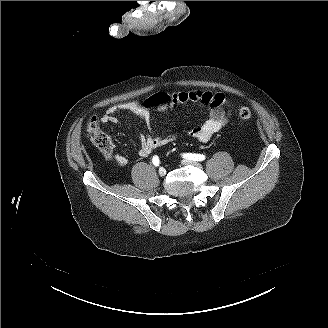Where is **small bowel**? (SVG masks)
<instances>
[{
	"mask_svg": "<svg viewBox=\"0 0 328 328\" xmlns=\"http://www.w3.org/2000/svg\"><path fill=\"white\" fill-rule=\"evenodd\" d=\"M172 106L177 107L189 103H196L209 108V117L201 125L195 126L187 131V135L200 142H207L211 137L219 132L228 122L231 115L230 111L225 109L226 99L221 93H211L209 91H190L171 94ZM164 108L160 110V113ZM120 112H130L138 116L145 124L148 133L140 135V148L138 154L140 157L149 156L154 150L172 142L177 137L176 133H170L163 136L153 135L154 116L149 108L136 101H125L107 108L106 112L100 117L103 124H116L118 119L116 115ZM104 155L113 160L118 166H125L128 163L126 156L121 154L113 155L104 153Z\"/></svg>",
	"mask_w": 328,
	"mask_h": 328,
	"instance_id": "obj_1",
	"label": "small bowel"
}]
</instances>
